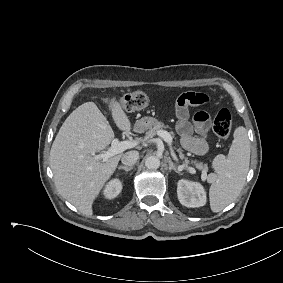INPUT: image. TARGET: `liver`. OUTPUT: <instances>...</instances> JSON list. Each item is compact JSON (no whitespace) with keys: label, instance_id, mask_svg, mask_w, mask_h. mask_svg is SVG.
<instances>
[{"label":"liver","instance_id":"6515ba94","mask_svg":"<svg viewBox=\"0 0 283 283\" xmlns=\"http://www.w3.org/2000/svg\"><path fill=\"white\" fill-rule=\"evenodd\" d=\"M116 126L129 133L132 125L115 99L107 100ZM114 132L94 102L76 108L61 126L50 151V166L61 196L91 216L95 198L117 168L122 155L107 161L93 156L110 145Z\"/></svg>","mask_w":283,"mask_h":283}]
</instances>
